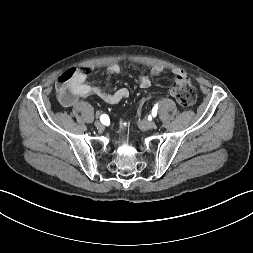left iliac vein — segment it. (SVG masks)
<instances>
[{"label":"left iliac vein","mask_w":253,"mask_h":253,"mask_svg":"<svg viewBox=\"0 0 253 253\" xmlns=\"http://www.w3.org/2000/svg\"><path fill=\"white\" fill-rule=\"evenodd\" d=\"M140 127L142 129H154L156 128V122L154 121H149V120H146V119H142L140 122Z\"/></svg>","instance_id":"left-iliac-vein-1"}]
</instances>
